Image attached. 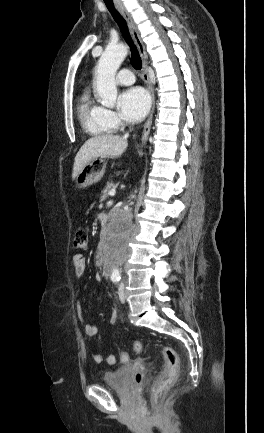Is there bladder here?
Wrapping results in <instances>:
<instances>
[{
	"label": "bladder",
	"instance_id": "31cf9c89",
	"mask_svg": "<svg viewBox=\"0 0 264 433\" xmlns=\"http://www.w3.org/2000/svg\"><path fill=\"white\" fill-rule=\"evenodd\" d=\"M129 377L128 368L109 370L102 377V385L118 393L126 394L130 390Z\"/></svg>",
	"mask_w": 264,
	"mask_h": 433
}]
</instances>
